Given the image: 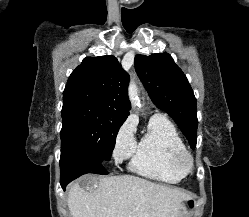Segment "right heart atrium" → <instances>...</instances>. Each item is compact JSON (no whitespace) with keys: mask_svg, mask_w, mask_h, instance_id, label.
I'll return each mask as SVG.
<instances>
[{"mask_svg":"<svg viewBox=\"0 0 249 217\" xmlns=\"http://www.w3.org/2000/svg\"><path fill=\"white\" fill-rule=\"evenodd\" d=\"M136 123L133 118H127L117 130L113 146V157L116 163L129 159L136 147Z\"/></svg>","mask_w":249,"mask_h":217,"instance_id":"right-heart-atrium-1","label":"right heart atrium"}]
</instances>
